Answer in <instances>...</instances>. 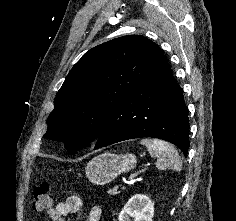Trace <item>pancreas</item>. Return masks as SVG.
<instances>
[{"instance_id": "1", "label": "pancreas", "mask_w": 236, "mask_h": 221, "mask_svg": "<svg viewBox=\"0 0 236 221\" xmlns=\"http://www.w3.org/2000/svg\"><path fill=\"white\" fill-rule=\"evenodd\" d=\"M109 195H115L117 194V187H114L112 190H108Z\"/></svg>"}]
</instances>
